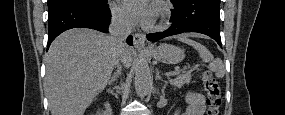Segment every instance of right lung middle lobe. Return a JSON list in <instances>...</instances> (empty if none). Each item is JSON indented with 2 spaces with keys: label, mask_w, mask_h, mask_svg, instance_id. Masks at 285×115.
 Instances as JSON below:
<instances>
[{
  "label": "right lung middle lobe",
  "mask_w": 285,
  "mask_h": 115,
  "mask_svg": "<svg viewBox=\"0 0 285 115\" xmlns=\"http://www.w3.org/2000/svg\"><path fill=\"white\" fill-rule=\"evenodd\" d=\"M69 2L83 3L94 7L107 5V0H48V10Z\"/></svg>",
  "instance_id": "right-lung-middle-lobe-1"
}]
</instances>
